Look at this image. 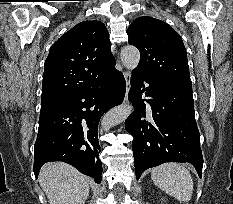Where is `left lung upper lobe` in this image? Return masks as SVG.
<instances>
[{
    "label": "left lung upper lobe",
    "instance_id": "1",
    "mask_svg": "<svg viewBox=\"0 0 233 204\" xmlns=\"http://www.w3.org/2000/svg\"><path fill=\"white\" fill-rule=\"evenodd\" d=\"M127 34L129 44L136 46L141 56L133 72L159 83L192 89L185 46L171 26L144 16L131 23Z\"/></svg>",
    "mask_w": 233,
    "mask_h": 204
}]
</instances>
